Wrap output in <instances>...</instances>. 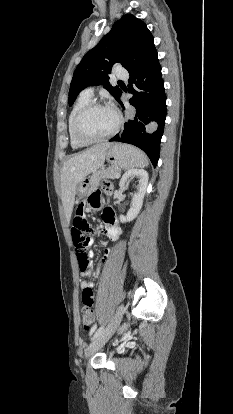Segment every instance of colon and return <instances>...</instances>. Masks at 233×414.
I'll use <instances>...</instances> for the list:
<instances>
[{
  "label": "colon",
  "instance_id": "colon-1",
  "mask_svg": "<svg viewBox=\"0 0 233 414\" xmlns=\"http://www.w3.org/2000/svg\"><path fill=\"white\" fill-rule=\"evenodd\" d=\"M89 225L84 217L82 209H78L73 218L72 236L76 248L79 268L87 270L91 261L88 253L89 246ZM82 324L85 329H89L95 319L93 310L94 292L92 288L87 287L82 291Z\"/></svg>",
  "mask_w": 233,
  "mask_h": 414
}]
</instances>
